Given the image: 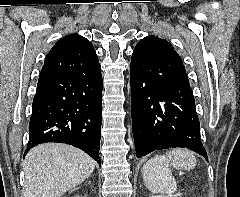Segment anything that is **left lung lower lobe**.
Wrapping results in <instances>:
<instances>
[{
    "label": "left lung lower lobe",
    "mask_w": 240,
    "mask_h": 197,
    "mask_svg": "<svg viewBox=\"0 0 240 197\" xmlns=\"http://www.w3.org/2000/svg\"><path fill=\"white\" fill-rule=\"evenodd\" d=\"M133 136L138 158L159 149L188 148L208 156L188 79L170 72L130 67Z\"/></svg>",
    "instance_id": "obj_1"
}]
</instances>
